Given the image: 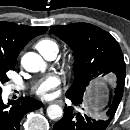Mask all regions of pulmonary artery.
<instances>
[{
    "label": "pulmonary artery",
    "instance_id": "pulmonary-artery-1",
    "mask_svg": "<svg viewBox=\"0 0 130 130\" xmlns=\"http://www.w3.org/2000/svg\"><path fill=\"white\" fill-rule=\"evenodd\" d=\"M47 60H54L56 58V53H50L45 57ZM15 87L13 85H10L8 87V90L11 91L12 89H14Z\"/></svg>",
    "mask_w": 130,
    "mask_h": 130
}]
</instances>
